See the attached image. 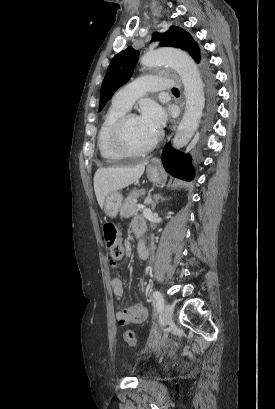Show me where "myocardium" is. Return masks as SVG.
<instances>
[{
	"mask_svg": "<svg viewBox=\"0 0 275 409\" xmlns=\"http://www.w3.org/2000/svg\"><path fill=\"white\" fill-rule=\"evenodd\" d=\"M139 118L136 113H126L115 124L112 134V146L114 150L122 156H142L150 153L157 145L159 136L156 135L154 139L145 147L137 149L128 144L127 129L131 120Z\"/></svg>",
	"mask_w": 275,
	"mask_h": 409,
	"instance_id": "f54148a6",
	"label": "myocardium"
}]
</instances>
